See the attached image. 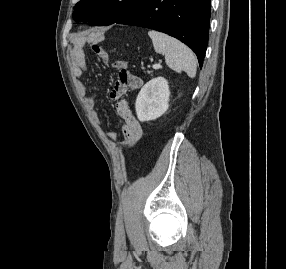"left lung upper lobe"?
<instances>
[{
	"mask_svg": "<svg viewBox=\"0 0 286 269\" xmlns=\"http://www.w3.org/2000/svg\"><path fill=\"white\" fill-rule=\"evenodd\" d=\"M144 0H80L73 17L90 25L113 24L136 9Z\"/></svg>",
	"mask_w": 286,
	"mask_h": 269,
	"instance_id": "left-lung-upper-lobe-1",
	"label": "left lung upper lobe"
}]
</instances>
